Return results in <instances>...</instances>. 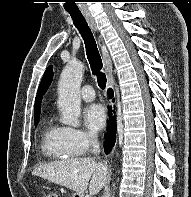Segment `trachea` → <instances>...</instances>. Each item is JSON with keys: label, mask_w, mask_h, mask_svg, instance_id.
<instances>
[{"label": "trachea", "mask_w": 191, "mask_h": 197, "mask_svg": "<svg viewBox=\"0 0 191 197\" xmlns=\"http://www.w3.org/2000/svg\"><path fill=\"white\" fill-rule=\"evenodd\" d=\"M69 13L75 27L79 30L84 40L87 58L89 60L93 75L97 77L98 86L101 89H105L107 80L105 74L101 71L103 64L94 36L82 13L80 12H69Z\"/></svg>", "instance_id": "obj_1"}]
</instances>
